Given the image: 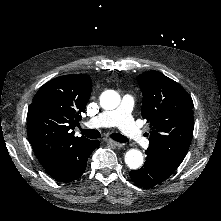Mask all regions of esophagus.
Instances as JSON below:
<instances>
[{
  "mask_svg": "<svg viewBox=\"0 0 221 221\" xmlns=\"http://www.w3.org/2000/svg\"><path fill=\"white\" fill-rule=\"evenodd\" d=\"M105 141H106L107 143L111 144V145L116 146V147L122 146L121 143H118V142H116V141H114V140H111V139H105Z\"/></svg>",
  "mask_w": 221,
  "mask_h": 221,
  "instance_id": "obj_1",
  "label": "esophagus"
}]
</instances>
